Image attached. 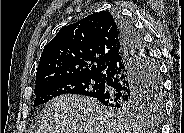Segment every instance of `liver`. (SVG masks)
Segmentation results:
<instances>
[{"label": "liver", "mask_w": 184, "mask_h": 133, "mask_svg": "<svg viewBox=\"0 0 184 133\" xmlns=\"http://www.w3.org/2000/svg\"><path fill=\"white\" fill-rule=\"evenodd\" d=\"M36 133H143V129L96 99L67 94L44 106Z\"/></svg>", "instance_id": "1"}]
</instances>
